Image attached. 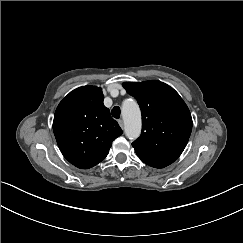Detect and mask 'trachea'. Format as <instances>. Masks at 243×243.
<instances>
[{"label":"trachea","instance_id":"3493384b","mask_svg":"<svg viewBox=\"0 0 243 243\" xmlns=\"http://www.w3.org/2000/svg\"><path fill=\"white\" fill-rule=\"evenodd\" d=\"M112 116L116 119H119L120 118V115H121V110L118 106H115L113 109H112Z\"/></svg>","mask_w":243,"mask_h":243}]
</instances>
